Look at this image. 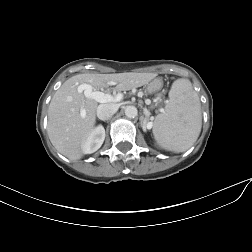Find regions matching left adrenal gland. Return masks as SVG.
Segmentation results:
<instances>
[{"label": "left adrenal gland", "instance_id": "a2214340", "mask_svg": "<svg viewBox=\"0 0 252 252\" xmlns=\"http://www.w3.org/2000/svg\"><path fill=\"white\" fill-rule=\"evenodd\" d=\"M146 125H147V118H142L141 126L143 128V131H146Z\"/></svg>", "mask_w": 252, "mask_h": 252}]
</instances>
